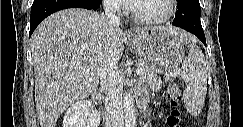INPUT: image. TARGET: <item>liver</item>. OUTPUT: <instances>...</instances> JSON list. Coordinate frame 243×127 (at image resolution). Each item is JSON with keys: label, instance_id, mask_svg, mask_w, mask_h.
I'll return each instance as SVG.
<instances>
[{"label": "liver", "instance_id": "obj_1", "mask_svg": "<svg viewBox=\"0 0 243 127\" xmlns=\"http://www.w3.org/2000/svg\"><path fill=\"white\" fill-rule=\"evenodd\" d=\"M178 37H191L162 27ZM150 28H136L142 34ZM125 33L105 15L86 9L61 10L43 20L31 37L34 60L35 103L41 127H55L59 116L75 101L98 87L108 55L118 61ZM83 70L88 73L83 74Z\"/></svg>", "mask_w": 243, "mask_h": 127}]
</instances>
